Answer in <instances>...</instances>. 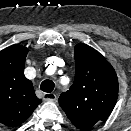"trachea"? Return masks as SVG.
<instances>
[{
    "instance_id": "1",
    "label": "trachea",
    "mask_w": 131,
    "mask_h": 131,
    "mask_svg": "<svg viewBox=\"0 0 131 131\" xmlns=\"http://www.w3.org/2000/svg\"><path fill=\"white\" fill-rule=\"evenodd\" d=\"M54 87L55 84L52 80H44L40 85L41 90L47 93H51Z\"/></svg>"
}]
</instances>
